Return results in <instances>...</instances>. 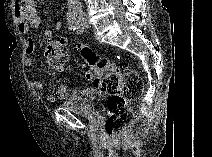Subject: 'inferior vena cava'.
Here are the masks:
<instances>
[{
    "label": "inferior vena cava",
    "instance_id": "obj_1",
    "mask_svg": "<svg viewBox=\"0 0 212 157\" xmlns=\"http://www.w3.org/2000/svg\"><path fill=\"white\" fill-rule=\"evenodd\" d=\"M78 8L81 9L82 8V5L80 2H78Z\"/></svg>",
    "mask_w": 212,
    "mask_h": 157
}]
</instances>
